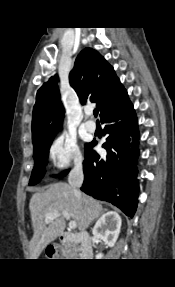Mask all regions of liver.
Segmentation results:
<instances>
[{
    "label": "liver",
    "mask_w": 175,
    "mask_h": 287,
    "mask_svg": "<svg viewBox=\"0 0 175 287\" xmlns=\"http://www.w3.org/2000/svg\"><path fill=\"white\" fill-rule=\"evenodd\" d=\"M29 209L34 229L29 244L31 259H37L43 249L65 229L66 222L62 215L46 223L45 216L48 213L68 212L70 218L77 223L79 231L83 232L103 212L98 201L80 192L76 193L73 187L63 182L50 185L44 192L33 194Z\"/></svg>",
    "instance_id": "6515ba94"
}]
</instances>
